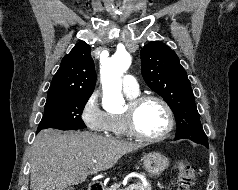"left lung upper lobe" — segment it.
Returning <instances> with one entry per match:
<instances>
[{
	"label": "left lung upper lobe",
	"mask_w": 238,
	"mask_h": 190,
	"mask_svg": "<svg viewBox=\"0 0 238 190\" xmlns=\"http://www.w3.org/2000/svg\"><path fill=\"white\" fill-rule=\"evenodd\" d=\"M141 72L147 85L172 109L177 122L175 139L187 138L208 146L190 81L176 53L162 42L145 45L141 50Z\"/></svg>",
	"instance_id": "obj_1"
}]
</instances>
